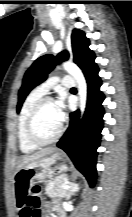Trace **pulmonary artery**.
Returning <instances> with one entry per match:
<instances>
[{"instance_id":"1","label":"pulmonary artery","mask_w":132,"mask_h":217,"mask_svg":"<svg viewBox=\"0 0 132 217\" xmlns=\"http://www.w3.org/2000/svg\"><path fill=\"white\" fill-rule=\"evenodd\" d=\"M61 83L65 87H72L74 85V81L70 77H64L60 79L59 77H51L42 84H40L37 89L43 92L44 94L47 93L53 86L56 84Z\"/></svg>"}]
</instances>
